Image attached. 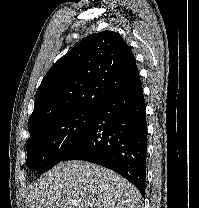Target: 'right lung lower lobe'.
I'll return each instance as SVG.
<instances>
[{
	"label": "right lung lower lobe",
	"instance_id": "right-lung-lower-lobe-1",
	"mask_svg": "<svg viewBox=\"0 0 199 208\" xmlns=\"http://www.w3.org/2000/svg\"><path fill=\"white\" fill-rule=\"evenodd\" d=\"M147 123L140 78L106 97L82 138L62 161L85 160L112 169L145 197Z\"/></svg>",
	"mask_w": 199,
	"mask_h": 208
}]
</instances>
